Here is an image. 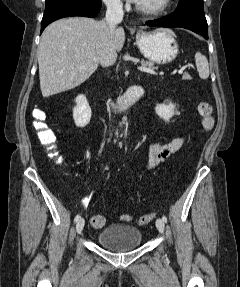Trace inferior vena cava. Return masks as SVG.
<instances>
[{"label":"inferior vena cava","mask_w":240,"mask_h":287,"mask_svg":"<svg viewBox=\"0 0 240 287\" xmlns=\"http://www.w3.org/2000/svg\"><path fill=\"white\" fill-rule=\"evenodd\" d=\"M106 23L110 29V32L113 33L118 23L123 19V4L121 0H106Z\"/></svg>","instance_id":"inferior-vena-cava-1"}]
</instances>
